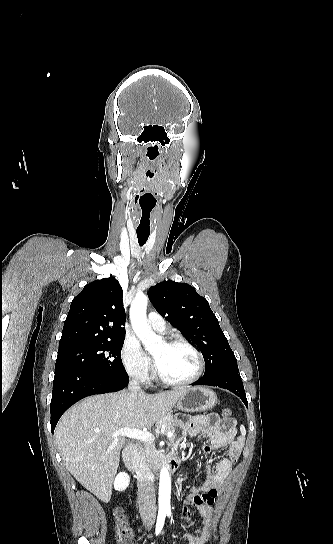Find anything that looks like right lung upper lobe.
<instances>
[{
    "instance_id": "1",
    "label": "right lung upper lobe",
    "mask_w": 333,
    "mask_h": 544,
    "mask_svg": "<svg viewBox=\"0 0 333 544\" xmlns=\"http://www.w3.org/2000/svg\"><path fill=\"white\" fill-rule=\"evenodd\" d=\"M123 291L114 277L87 284L71 302L59 348L125 337Z\"/></svg>"
}]
</instances>
